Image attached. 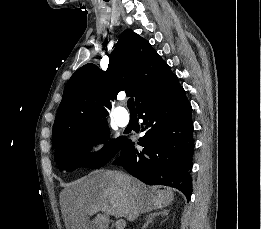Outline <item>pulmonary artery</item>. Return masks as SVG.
Returning a JSON list of instances; mask_svg holds the SVG:
<instances>
[{
  "instance_id": "pulmonary-artery-1",
  "label": "pulmonary artery",
  "mask_w": 261,
  "mask_h": 229,
  "mask_svg": "<svg viewBox=\"0 0 261 229\" xmlns=\"http://www.w3.org/2000/svg\"><path fill=\"white\" fill-rule=\"evenodd\" d=\"M115 116L117 120L121 123H126L129 119L128 111L122 106H118L116 108Z\"/></svg>"
}]
</instances>
